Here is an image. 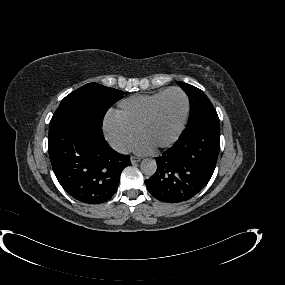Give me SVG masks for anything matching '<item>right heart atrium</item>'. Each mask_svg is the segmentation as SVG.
I'll return each mask as SVG.
<instances>
[{
  "label": "right heart atrium",
  "instance_id": "d8ad5b80",
  "mask_svg": "<svg viewBox=\"0 0 285 285\" xmlns=\"http://www.w3.org/2000/svg\"><path fill=\"white\" fill-rule=\"evenodd\" d=\"M105 137L110 144L120 152L130 150L136 134L128 129L115 115L105 116L102 124Z\"/></svg>",
  "mask_w": 285,
  "mask_h": 285
}]
</instances>
